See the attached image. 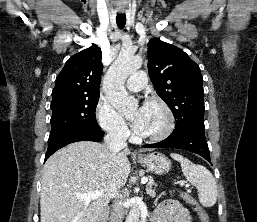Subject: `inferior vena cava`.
Segmentation results:
<instances>
[{
    "mask_svg": "<svg viewBox=\"0 0 257 222\" xmlns=\"http://www.w3.org/2000/svg\"><path fill=\"white\" fill-rule=\"evenodd\" d=\"M127 135L125 131L118 127L110 129L108 134L104 137V142L110 153L116 154L120 150L127 147ZM123 221V209L119 202H114L112 205V212L110 216V222H122Z\"/></svg>",
    "mask_w": 257,
    "mask_h": 222,
    "instance_id": "602c4592",
    "label": "inferior vena cava"
}]
</instances>
